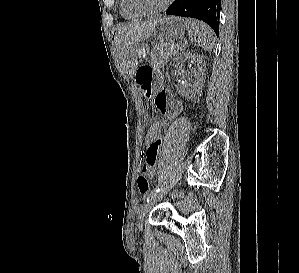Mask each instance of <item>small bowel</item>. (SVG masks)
Wrapping results in <instances>:
<instances>
[{
    "label": "small bowel",
    "mask_w": 299,
    "mask_h": 273,
    "mask_svg": "<svg viewBox=\"0 0 299 273\" xmlns=\"http://www.w3.org/2000/svg\"><path fill=\"white\" fill-rule=\"evenodd\" d=\"M155 105L161 114L169 118L177 116L182 108V105L179 101L174 100L165 92H162L156 96ZM146 146L147 148L144 154L145 162L142 166V172L149 178H154L161 146V137L154 142L146 143Z\"/></svg>",
    "instance_id": "c3829d8e"
}]
</instances>
